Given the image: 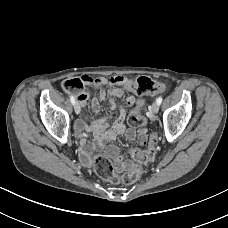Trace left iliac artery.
<instances>
[{
    "label": "left iliac artery",
    "instance_id": "1",
    "mask_svg": "<svg viewBox=\"0 0 228 228\" xmlns=\"http://www.w3.org/2000/svg\"><path fill=\"white\" fill-rule=\"evenodd\" d=\"M162 100H163V99H162L161 96L157 98L156 102L158 103V105H160V104L162 103Z\"/></svg>",
    "mask_w": 228,
    "mask_h": 228
}]
</instances>
